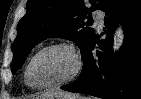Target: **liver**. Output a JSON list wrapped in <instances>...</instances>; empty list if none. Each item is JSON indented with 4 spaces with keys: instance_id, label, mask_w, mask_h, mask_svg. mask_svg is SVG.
Returning a JSON list of instances; mask_svg holds the SVG:
<instances>
[{
    "instance_id": "obj_1",
    "label": "liver",
    "mask_w": 141,
    "mask_h": 99,
    "mask_svg": "<svg viewBox=\"0 0 141 99\" xmlns=\"http://www.w3.org/2000/svg\"><path fill=\"white\" fill-rule=\"evenodd\" d=\"M43 95H48L52 99H77V95L71 94L68 92L60 91V90H52L47 93H44Z\"/></svg>"
}]
</instances>
